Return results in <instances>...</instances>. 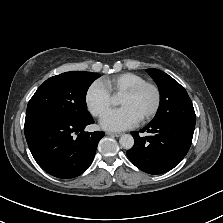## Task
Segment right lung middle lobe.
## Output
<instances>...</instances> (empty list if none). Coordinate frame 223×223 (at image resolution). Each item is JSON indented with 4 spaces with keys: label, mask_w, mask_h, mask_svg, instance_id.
<instances>
[{
    "label": "right lung middle lobe",
    "mask_w": 223,
    "mask_h": 223,
    "mask_svg": "<svg viewBox=\"0 0 223 223\" xmlns=\"http://www.w3.org/2000/svg\"><path fill=\"white\" fill-rule=\"evenodd\" d=\"M100 74L72 71L47 79L30 99L25 126L44 121L85 122L91 119L86 93Z\"/></svg>",
    "instance_id": "obj_1"
}]
</instances>
